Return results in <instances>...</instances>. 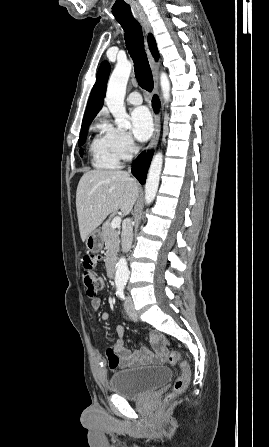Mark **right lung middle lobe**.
<instances>
[{"label": "right lung middle lobe", "instance_id": "1", "mask_svg": "<svg viewBox=\"0 0 269 447\" xmlns=\"http://www.w3.org/2000/svg\"><path fill=\"white\" fill-rule=\"evenodd\" d=\"M89 125H90V123L82 125V127H81L80 138H79V141H78V145L79 146H82L85 143V141H86V132L88 130V126ZM80 155L82 156V150H80Z\"/></svg>", "mask_w": 269, "mask_h": 447}]
</instances>
